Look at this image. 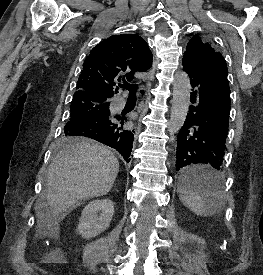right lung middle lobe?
<instances>
[{
    "label": "right lung middle lobe",
    "instance_id": "dd1d6c3e",
    "mask_svg": "<svg viewBox=\"0 0 263 275\" xmlns=\"http://www.w3.org/2000/svg\"><path fill=\"white\" fill-rule=\"evenodd\" d=\"M110 115L109 99L93 94H81L73 97L70 107V118L65 128L73 123L88 117H102ZM73 136L63 133L59 143L74 142Z\"/></svg>",
    "mask_w": 263,
    "mask_h": 275
}]
</instances>
